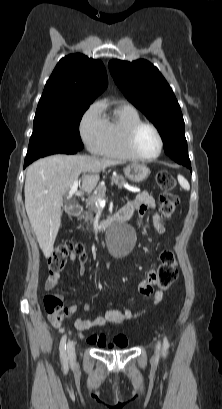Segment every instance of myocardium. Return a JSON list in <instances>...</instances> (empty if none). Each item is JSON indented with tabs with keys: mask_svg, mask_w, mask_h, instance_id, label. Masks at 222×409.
Instances as JSON below:
<instances>
[{
	"mask_svg": "<svg viewBox=\"0 0 222 409\" xmlns=\"http://www.w3.org/2000/svg\"><path fill=\"white\" fill-rule=\"evenodd\" d=\"M143 127L151 128L156 133V135L158 137L159 149H158V152L153 156H143L138 152V150L136 148L135 139H136V136H137L138 132ZM125 142H126V147H127L128 151L130 152V154L135 159L142 160V161H152V160L157 159L161 155V153L163 151V148H164V141H163V137H162V134H161L160 130L154 124H152L150 122H145V121H140V122L132 125L129 128V130H128L127 134H126Z\"/></svg>",
	"mask_w": 222,
	"mask_h": 409,
	"instance_id": "f54148a6",
	"label": "myocardium"
}]
</instances>
